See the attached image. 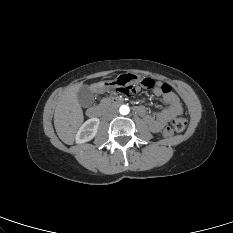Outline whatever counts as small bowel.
<instances>
[{
	"label": "small bowel",
	"mask_w": 233,
	"mask_h": 233,
	"mask_svg": "<svg viewBox=\"0 0 233 233\" xmlns=\"http://www.w3.org/2000/svg\"><path fill=\"white\" fill-rule=\"evenodd\" d=\"M166 83L157 82L153 88V93L156 96L162 97L167 107L154 114H149L144 106L136 107V112L142 116L153 132H160L163 127L175 116L180 115L183 111V107L178 96L172 91L171 87L169 91L164 92L162 85ZM136 90H139L138 88Z\"/></svg>",
	"instance_id": "1"
}]
</instances>
